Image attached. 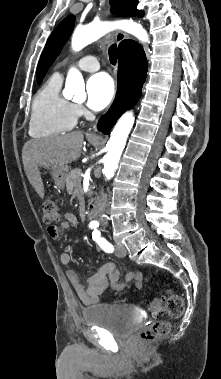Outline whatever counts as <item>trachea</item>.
Wrapping results in <instances>:
<instances>
[{
  "mask_svg": "<svg viewBox=\"0 0 221 379\" xmlns=\"http://www.w3.org/2000/svg\"><path fill=\"white\" fill-rule=\"evenodd\" d=\"M108 53H109V60H110L111 64L115 65L116 62H117V55H118L117 45L116 44H112L109 47Z\"/></svg>",
  "mask_w": 221,
  "mask_h": 379,
  "instance_id": "3493384b",
  "label": "trachea"
}]
</instances>
